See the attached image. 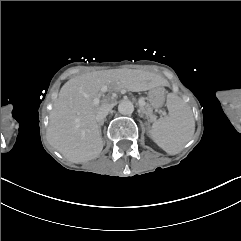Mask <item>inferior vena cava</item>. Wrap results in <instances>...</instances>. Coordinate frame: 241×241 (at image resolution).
Wrapping results in <instances>:
<instances>
[{
	"mask_svg": "<svg viewBox=\"0 0 241 241\" xmlns=\"http://www.w3.org/2000/svg\"><path fill=\"white\" fill-rule=\"evenodd\" d=\"M111 109H106V110H102V111H99L96 115V121L98 124H103L104 122V119L106 118V116L108 115L109 111Z\"/></svg>",
	"mask_w": 241,
	"mask_h": 241,
	"instance_id": "inferior-vena-cava-1",
	"label": "inferior vena cava"
}]
</instances>
